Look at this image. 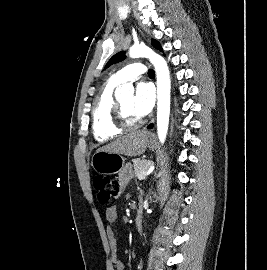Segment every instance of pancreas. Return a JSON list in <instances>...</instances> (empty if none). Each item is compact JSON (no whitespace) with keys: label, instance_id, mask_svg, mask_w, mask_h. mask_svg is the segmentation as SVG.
<instances>
[{"label":"pancreas","instance_id":"pancreas-1","mask_svg":"<svg viewBox=\"0 0 267 270\" xmlns=\"http://www.w3.org/2000/svg\"><path fill=\"white\" fill-rule=\"evenodd\" d=\"M135 176H139L145 173L152 165V161L145 159H135L133 160Z\"/></svg>","mask_w":267,"mask_h":270}]
</instances>
